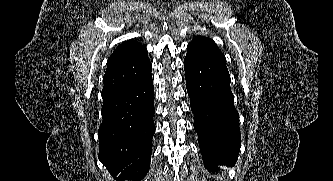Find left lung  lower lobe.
<instances>
[{
	"label": "left lung lower lobe",
	"instance_id": "0a47b994",
	"mask_svg": "<svg viewBox=\"0 0 333 181\" xmlns=\"http://www.w3.org/2000/svg\"><path fill=\"white\" fill-rule=\"evenodd\" d=\"M184 67L204 165L209 171L233 166L241 137L226 63L188 46Z\"/></svg>",
	"mask_w": 333,
	"mask_h": 181
}]
</instances>
